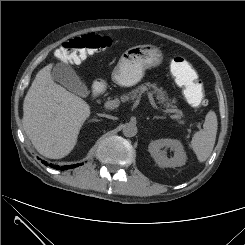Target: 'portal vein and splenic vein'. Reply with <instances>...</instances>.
Masks as SVG:
<instances>
[{
    "instance_id": "obj_1",
    "label": "portal vein and splenic vein",
    "mask_w": 245,
    "mask_h": 245,
    "mask_svg": "<svg viewBox=\"0 0 245 245\" xmlns=\"http://www.w3.org/2000/svg\"><path fill=\"white\" fill-rule=\"evenodd\" d=\"M148 100H149V103H150L151 107L154 108L155 110L160 111V112H164V113H172L169 110L162 109L161 107H159L155 103L154 98H153L152 94H150V93L148 94ZM120 104H121V101L118 98H116V99L107 101L105 103V108H107V109H114V108L119 107ZM175 117L176 118H180L179 115H175Z\"/></svg>"
}]
</instances>
